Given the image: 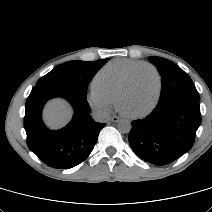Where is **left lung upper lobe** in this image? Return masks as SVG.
<instances>
[{"mask_svg":"<svg viewBox=\"0 0 212 212\" xmlns=\"http://www.w3.org/2000/svg\"><path fill=\"white\" fill-rule=\"evenodd\" d=\"M149 60L157 67L162 77L158 103L177 97L200 101L198 91L191 78L179 66L162 57L150 56Z\"/></svg>","mask_w":212,"mask_h":212,"instance_id":"obj_1","label":"left lung upper lobe"}]
</instances>
